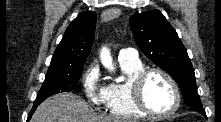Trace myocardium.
I'll use <instances>...</instances> for the list:
<instances>
[{
    "instance_id": "1",
    "label": "myocardium",
    "mask_w": 221,
    "mask_h": 122,
    "mask_svg": "<svg viewBox=\"0 0 221 122\" xmlns=\"http://www.w3.org/2000/svg\"><path fill=\"white\" fill-rule=\"evenodd\" d=\"M152 74H159L162 77H164L170 86L172 87L174 97H175V102L173 107L164 113H158L153 111L148 104L145 101L144 98V86L146 83V80L149 78L150 75ZM131 94L133 101L136 105V107L142 111L144 114L154 117V118H167L175 114L180 105H181V93L178 87V84L176 83L175 79L167 73L165 70L160 69V68H147L143 69L140 71L132 80L131 82Z\"/></svg>"
}]
</instances>
